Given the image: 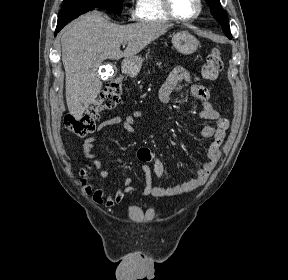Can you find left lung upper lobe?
I'll return each mask as SVG.
<instances>
[{
  "instance_id": "5c2ea615",
  "label": "left lung upper lobe",
  "mask_w": 288,
  "mask_h": 280,
  "mask_svg": "<svg viewBox=\"0 0 288 280\" xmlns=\"http://www.w3.org/2000/svg\"><path fill=\"white\" fill-rule=\"evenodd\" d=\"M210 7V11L214 18L222 26L223 32L229 39H232V35L229 27V20L226 11L221 8L220 0H205Z\"/></svg>"
}]
</instances>
